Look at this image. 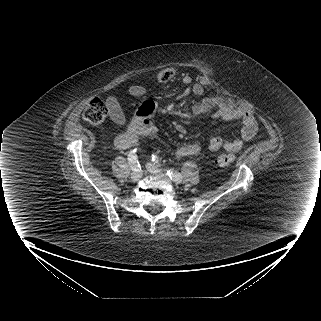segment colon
I'll use <instances>...</instances> for the list:
<instances>
[{"instance_id":"colon-1","label":"colon","mask_w":321,"mask_h":321,"mask_svg":"<svg viewBox=\"0 0 321 321\" xmlns=\"http://www.w3.org/2000/svg\"><path fill=\"white\" fill-rule=\"evenodd\" d=\"M174 76V71L171 68H164L158 73L160 82H168ZM197 84L206 87L210 80L207 75L202 74L196 79ZM108 115V107L100 98L92 99L82 112V118L85 122L92 125H101L105 122ZM235 161V155L231 153L220 154L216 157V164L221 167L231 165Z\"/></svg>"}]
</instances>
